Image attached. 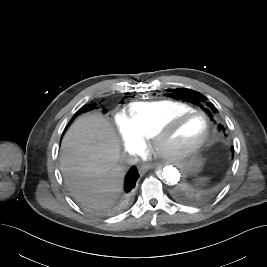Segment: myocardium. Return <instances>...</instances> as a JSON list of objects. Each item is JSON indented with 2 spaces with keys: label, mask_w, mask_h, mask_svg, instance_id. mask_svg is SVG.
<instances>
[{
  "label": "myocardium",
  "mask_w": 267,
  "mask_h": 267,
  "mask_svg": "<svg viewBox=\"0 0 267 267\" xmlns=\"http://www.w3.org/2000/svg\"><path fill=\"white\" fill-rule=\"evenodd\" d=\"M191 115H200L205 121V130L200 139L193 144L182 148H167L165 142L172 129L178 125L182 120ZM211 131V122L208 115L198 109H192L184 112H180L173 115L165 122H163L152 136V145L154 149L165 159L169 161H178L185 159L193 154L197 153L207 142Z\"/></svg>",
  "instance_id": "1"
}]
</instances>
